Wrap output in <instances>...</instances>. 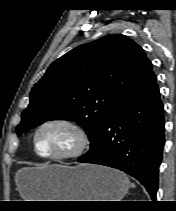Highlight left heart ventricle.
Masks as SVG:
<instances>
[{"instance_id": "b2bd125f", "label": "left heart ventricle", "mask_w": 176, "mask_h": 211, "mask_svg": "<svg viewBox=\"0 0 176 211\" xmlns=\"http://www.w3.org/2000/svg\"><path fill=\"white\" fill-rule=\"evenodd\" d=\"M75 146L73 134L62 126H51L42 130L37 138L41 154H60L71 151Z\"/></svg>"}]
</instances>
